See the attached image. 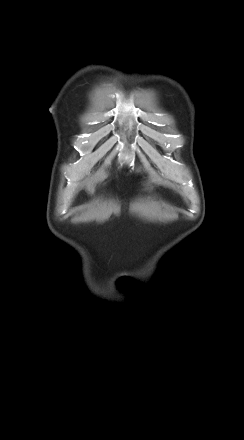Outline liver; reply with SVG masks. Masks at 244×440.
Masks as SVG:
<instances>
[{
	"mask_svg": "<svg viewBox=\"0 0 244 440\" xmlns=\"http://www.w3.org/2000/svg\"><path fill=\"white\" fill-rule=\"evenodd\" d=\"M88 191L90 192V193H93L94 192V187L93 186H88Z\"/></svg>",
	"mask_w": 244,
	"mask_h": 440,
	"instance_id": "liver-1",
	"label": "liver"
}]
</instances>
